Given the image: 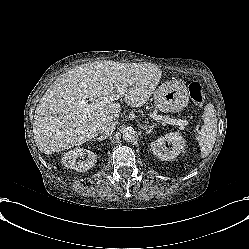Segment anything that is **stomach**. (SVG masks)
<instances>
[{
	"mask_svg": "<svg viewBox=\"0 0 249 249\" xmlns=\"http://www.w3.org/2000/svg\"><path fill=\"white\" fill-rule=\"evenodd\" d=\"M153 97L157 107L165 112H179L187 106L189 100L186 86L174 81L159 86Z\"/></svg>",
	"mask_w": 249,
	"mask_h": 249,
	"instance_id": "obj_1",
	"label": "stomach"
}]
</instances>
